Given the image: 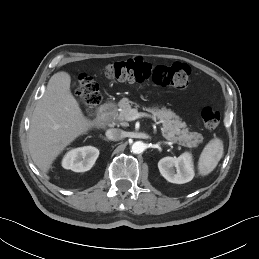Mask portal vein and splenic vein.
I'll list each match as a JSON object with an SVG mask.
<instances>
[{
    "label": "portal vein and splenic vein",
    "mask_w": 259,
    "mask_h": 259,
    "mask_svg": "<svg viewBox=\"0 0 259 259\" xmlns=\"http://www.w3.org/2000/svg\"><path fill=\"white\" fill-rule=\"evenodd\" d=\"M141 117H150V118H152L156 123H159V122H157L156 117L151 116V115H149V114H147V113L138 112L136 109H131V110L129 111V113L127 114L125 120H126V121H134V120L139 119V118H141Z\"/></svg>",
    "instance_id": "portal-vein-and-splenic-vein-1"
}]
</instances>
